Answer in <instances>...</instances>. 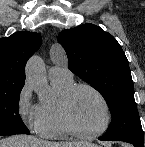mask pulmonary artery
<instances>
[{"mask_svg": "<svg viewBox=\"0 0 145 147\" xmlns=\"http://www.w3.org/2000/svg\"><path fill=\"white\" fill-rule=\"evenodd\" d=\"M50 79H72V72L64 65H54L49 69Z\"/></svg>", "mask_w": 145, "mask_h": 147, "instance_id": "1", "label": "pulmonary artery"}]
</instances>
